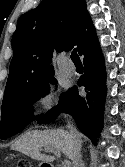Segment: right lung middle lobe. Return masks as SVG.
<instances>
[{
  "label": "right lung middle lobe",
  "mask_w": 125,
  "mask_h": 167,
  "mask_svg": "<svg viewBox=\"0 0 125 167\" xmlns=\"http://www.w3.org/2000/svg\"><path fill=\"white\" fill-rule=\"evenodd\" d=\"M48 81L19 96L3 99L0 139H6L21 132L35 119L32 105L36 100L49 93ZM50 82L56 83V80L51 78ZM63 95H61L60 99Z\"/></svg>",
  "instance_id": "1"
}]
</instances>
